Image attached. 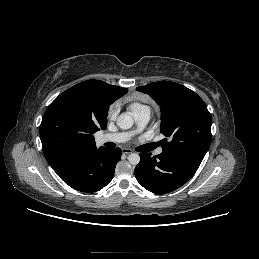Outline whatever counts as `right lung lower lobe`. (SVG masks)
<instances>
[{"instance_id":"obj_1","label":"right lung lower lobe","mask_w":259,"mask_h":259,"mask_svg":"<svg viewBox=\"0 0 259 259\" xmlns=\"http://www.w3.org/2000/svg\"><path fill=\"white\" fill-rule=\"evenodd\" d=\"M121 154L120 148H93L65 154L50 165L70 187L82 192H96L112 180Z\"/></svg>"}]
</instances>
